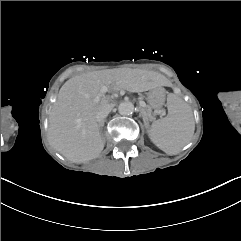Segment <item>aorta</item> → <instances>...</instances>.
<instances>
[{
	"label": "aorta",
	"instance_id": "aorta-1",
	"mask_svg": "<svg viewBox=\"0 0 241 241\" xmlns=\"http://www.w3.org/2000/svg\"><path fill=\"white\" fill-rule=\"evenodd\" d=\"M134 105L129 101L121 102L118 106V111L121 115H131L134 112Z\"/></svg>",
	"mask_w": 241,
	"mask_h": 241
}]
</instances>
